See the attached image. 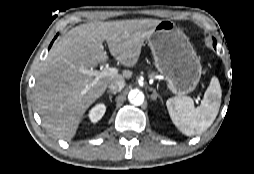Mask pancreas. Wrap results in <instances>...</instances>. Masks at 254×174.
<instances>
[{
  "label": "pancreas",
  "instance_id": "pancreas-1",
  "mask_svg": "<svg viewBox=\"0 0 254 174\" xmlns=\"http://www.w3.org/2000/svg\"><path fill=\"white\" fill-rule=\"evenodd\" d=\"M149 76H150V77H154V74L152 73V74H150Z\"/></svg>",
  "mask_w": 254,
  "mask_h": 174
}]
</instances>
